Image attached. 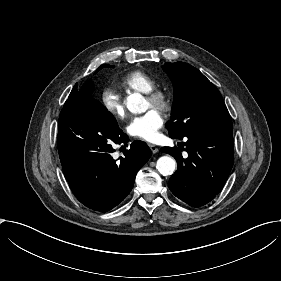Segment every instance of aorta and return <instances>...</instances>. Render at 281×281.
<instances>
[{"label":"aorta","mask_w":281,"mask_h":281,"mask_svg":"<svg viewBox=\"0 0 281 281\" xmlns=\"http://www.w3.org/2000/svg\"><path fill=\"white\" fill-rule=\"evenodd\" d=\"M126 106L134 114H140L147 110L146 100L139 93L130 94L126 99ZM156 169L163 176L172 175L176 169V161L171 156H162L157 160Z\"/></svg>","instance_id":"aorta-1"}]
</instances>
